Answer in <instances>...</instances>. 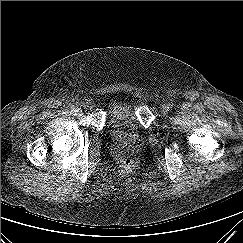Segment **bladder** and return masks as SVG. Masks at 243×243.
Returning a JSON list of instances; mask_svg holds the SVG:
<instances>
[{
    "mask_svg": "<svg viewBox=\"0 0 243 243\" xmlns=\"http://www.w3.org/2000/svg\"><path fill=\"white\" fill-rule=\"evenodd\" d=\"M106 131L114 139L132 144L142 135L133 104L126 98L113 99L106 114Z\"/></svg>",
    "mask_w": 243,
    "mask_h": 243,
    "instance_id": "1",
    "label": "bladder"
}]
</instances>
